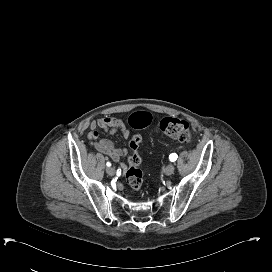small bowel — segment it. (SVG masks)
<instances>
[{"label": "small bowel", "instance_id": "small-bowel-1", "mask_svg": "<svg viewBox=\"0 0 272 272\" xmlns=\"http://www.w3.org/2000/svg\"><path fill=\"white\" fill-rule=\"evenodd\" d=\"M90 129L91 131L88 134V139L93 142L94 148L97 151L109 156L114 162H121L122 158L127 154V151L117 147L108 139H99L98 129H104L109 134L120 131L123 137L128 138L130 131L124 122L117 117L105 116L92 121L90 124ZM129 148L128 165L130 166L131 163H134L138 166L141 163L139 146ZM121 169L124 172L127 169V164L121 163Z\"/></svg>", "mask_w": 272, "mask_h": 272}]
</instances>
